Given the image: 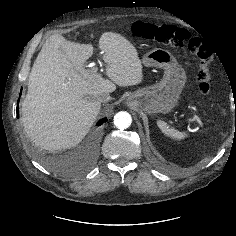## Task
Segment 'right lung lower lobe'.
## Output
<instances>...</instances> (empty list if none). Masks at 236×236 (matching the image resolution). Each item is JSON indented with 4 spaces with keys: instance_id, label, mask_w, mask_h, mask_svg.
I'll return each instance as SVG.
<instances>
[{
    "instance_id": "right-lung-lower-lobe-1",
    "label": "right lung lower lobe",
    "mask_w": 236,
    "mask_h": 236,
    "mask_svg": "<svg viewBox=\"0 0 236 236\" xmlns=\"http://www.w3.org/2000/svg\"><path fill=\"white\" fill-rule=\"evenodd\" d=\"M20 95H21V92H20ZM16 111H17V117L19 118V107H18V106H17V108H16ZM106 121H107V119L104 118V119L100 120V121L97 123V125L99 126V125L103 124V123L106 122Z\"/></svg>"
}]
</instances>
